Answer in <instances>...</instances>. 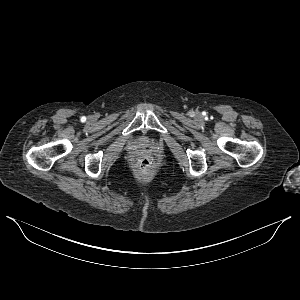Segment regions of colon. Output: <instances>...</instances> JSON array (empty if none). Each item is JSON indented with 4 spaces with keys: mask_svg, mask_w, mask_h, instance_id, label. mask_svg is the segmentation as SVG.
Segmentation results:
<instances>
[{
    "mask_svg": "<svg viewBox=\"0 0 300 300\" xmlns=\"http://www.w3.org/2000/svg\"><path fill=\"white\" fill-rule=\"evenodd\" d=\"M155 165L156 163L152 156H141L134 163L136 171L142 176L149 175L154 170Z\"/></svg>",
    "mask_w": 300,
    "mask_h": 300,
    "instance_id": "5ec220e1",
    "label": "colon"
}]
</instances>
